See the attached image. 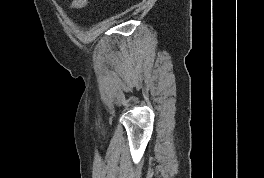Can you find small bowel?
Listing matches in <instances>:
<instances>
[{
    "mask_svg": "<svg viewBox=\"0 0 264 178\" xmlns=\"http://www.w3.org/2000/svg\"><path fill=\"white\" fill-rule=\"evenodd\" d=\"M86 4L87 0H73L72 2V6L77 9L85 7Z\"/></svg>",
    "mask_w": 264,
    "mask_h": 178,
    "instance_id": "c3829d8e",
    "label": "small bowel"
}]
</instances>
